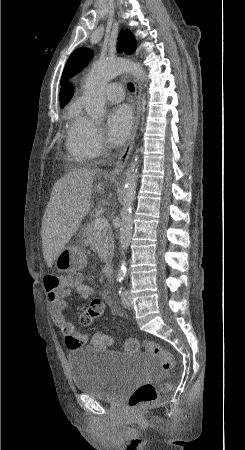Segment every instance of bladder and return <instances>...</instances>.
<instances>
[{"label":"bladder","mask_w":245,"mask_h":450,"mask_svg":"<svg viewBox=\"0 0 245 450\" xmlns=\"http://www.w3.org/2000/svg\"><path fill=\"white\" fill-rule=\"evenodd\" d=\"M67 359L77 392L111 402L138 385L147 373L140 356L109 349L75 347Z\"/></svg>","instance_id":"31cf9c89"}]
</instances>
